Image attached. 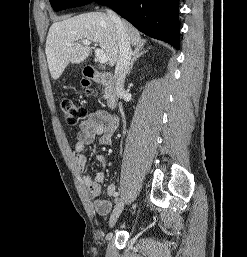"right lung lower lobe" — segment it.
<instances>
[{
	"label": "right lung lower lobe",
	"mask_w": 247,
	"mask_h": 257,
	"mask_svg": "<svg viewBox=\"0 0 247 257\" xmlns=\"http://www.w3.org/2000/svg\"><path fill=\"white\" fill-rule=\"evenodd\" d=\"M128 20L139 31L180 47L178 0H97Z\"/></svg>",
	"instance_id": "1"
}]
</instances>
